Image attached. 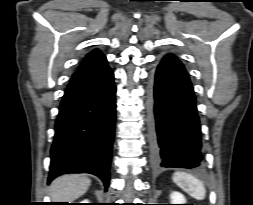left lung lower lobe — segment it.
<instances>
[{
	"instance_id": "left-lung-lower-lobe-1",
	"label": "left lung lower lobe",
	"mask_w": 253,
	"mask_h": 205,
	"mask_svg": "<svg viewBox=\"0 0 253 205\" xmlns=\"http://www.w3.org/2000/svg\"><path fill=\"white\" fill-rule=\"evenodd\" d=\"M150 146L161 167H201L196 98L184 65L173 54L158 65L149 89Z\"/></svg>"
}]
</instances>
